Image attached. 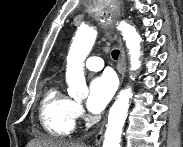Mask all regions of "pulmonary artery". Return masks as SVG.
<instances>
[{
    "label": "pulmonary artery",
    "instance_id": "obj_1",
    "mask_svg": "<svg viewBox=\"0 0 183 147\" xmlns=\"http://www.w3.org/2000/svg\"><path fill=\"white\" fill-rule=\"evenodd\" d=\"M84 66L90 71H99L103 68L104 62L100 57L92 56L85 61Z\"/></svg>",
    "mask_w": 183,
    "mask_h": 147
}]
</instances>
